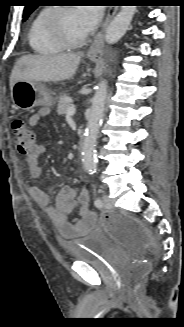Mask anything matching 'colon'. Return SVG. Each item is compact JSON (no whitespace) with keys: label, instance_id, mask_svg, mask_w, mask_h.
I'll list each match as a JSON object with an SVG mask.
<instances>
[{"label":"colon","instance_id":"obj_1","mask_svg":"<svg viewBox=\"0 0 184 327\" xmlns=\"http://www.w3.org/2000/svg\"><path fill=\"white\" fill-rule=\"evenodd\" d=\"M12 132L19 153L29 155L37 145L34 131L24 121L17 119L12 123ZM102 220L115 239L127 245L138 247L141 251V255L133 266V283L131 286L133 295L138 300L143 278L149 269V264L143 253L151 243V237L138 220L126 215L104 214Z\"/></svg>","mask_w":184,"mask_h":327}]
</instances>
